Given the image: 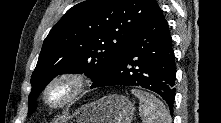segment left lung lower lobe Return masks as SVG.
Returning <instances> with one entry per match:
<instances>
[{"label": "left lung lower lobe", "mask_w": 221, "mask_h": 123, "mask_svg": "<svg viewBox=\"0 0 221 123\" xmlns=\"http://www.w3.org/2000/svg\"><path fill=\"white\" fill-rule=\"evenodd\" d=\"M175 76L172 38L158 7L132 37L117 61L94 80L91 88L140 86L159 94L173 112Z\"/></svg>", "instance_id": "1"}]
</instances>
